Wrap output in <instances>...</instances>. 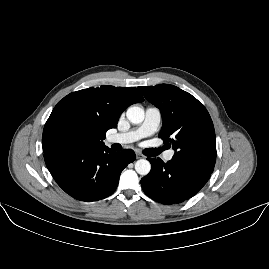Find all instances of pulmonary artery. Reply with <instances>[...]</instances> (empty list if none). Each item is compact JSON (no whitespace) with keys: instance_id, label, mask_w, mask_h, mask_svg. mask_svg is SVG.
<instances>
[{"instance_id":"1","label":"pulmonary artery","mask_w":269,"mask_h":269,"mask_svg":"<svg viewBox=\"0 0 269 269\" xmlns=\"http://www.w3.org/2000/svg\"><path fill=\"white\" fill-rule=\"evenodd\" d=\"M161 122V112L157 107H147L143 123L137 129H133L126 133H119L107 138V144H129L141 138H145L154 134ZM174 151L170 150L165 153L164 161L168 162L172 159Z\"/></svg>"}]
</instances>
